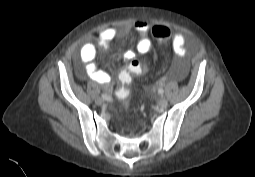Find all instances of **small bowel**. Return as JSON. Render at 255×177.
I'll return each mask as SVG.
<instances>
[{
    "label": "small bowel",
    "instance_id": "1",
    "mask_svg": "<svg viewBox=\"0 0 255 177\" xmlns=\"http://www.w3.org/2000/svg\"><path fill=\"white\" fill-rule=\"evenodd\" d=\"M133 29L141 37L137 44V51L141 54L148 53L151 49V41L148 37L149 25L143 21H137L133 24ZM117 37V31L114 28H106L99 33H95L90 37L80 50L81 68H78L77 72L80 77H88L94 82L107 86V91H110L109 84L111 78L108 73L99 69L94 60L96 56V44L102 48H107L109 43ZM185 39L184 35L180 32L174 34L172 39V47L175 54L179 57L186 55L184 47ZM135 53L133 51H127L124 54L126 61L133 60Z\"/></svg>",
    "mask_w": 255,
    "mask_h": 177
}]
</instances>
